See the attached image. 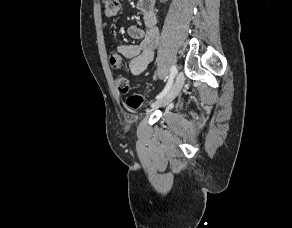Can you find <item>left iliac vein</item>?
<instances>
[{
    "mask_svg": "<svg viewBox=\"0 0 292 228\" xmlns=\"http://www.w3.org/2000/svg\"><path fill=\"white\" fill-rule=\"evenodd\" d=\"M184 80H185V77H184L183 72L178 73L170 91L164 97L158 99L153 104V107H159V106H163V105L170 103L178 95V93L181 91V89L184 85Z\"/></svg>",
    "mask_w": 292,
    "mask_h": 228,
    "instance_id": "left-iliac-vein-1",
    "label": "left iliac vein"
}]
</instances>
